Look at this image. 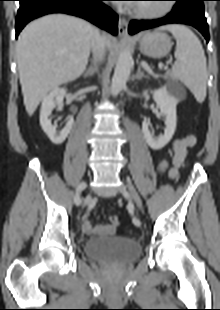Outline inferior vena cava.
I'll use <instances>...</instances> for the list:
<instances>
[{"instance_id":"1","label":"inferior vena cava","mask_w":220,"mask_h":310,"mask_svg":"<svg viewBox=\"0 0 220 310\" xmlns=\"http://www.w3.org/2000/svg\"><path fill=\"white\" fill-rule=\"evenodd\" d=\"M91 48H92L95 60L102 61L105 55V51H106V43H105V38L100 35L97 29H95L94 31Z\"/></svg>"}]
</instances>
